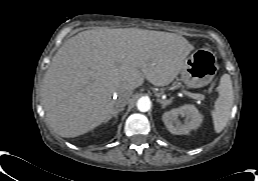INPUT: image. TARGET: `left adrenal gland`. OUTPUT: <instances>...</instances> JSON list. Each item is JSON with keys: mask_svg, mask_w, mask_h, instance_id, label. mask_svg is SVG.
I'll return each instance as SVG.
<instances>
[{"mask_svg": "<svg viewBox=\"0 0 258 181\" xmlns=\"http://www.w3.org/2000/svg\"><path fill=\"white\" fill-rule=\"evenodd\" d=\"M173 100V97L170 98L169 100H161V99H157V102L162 104V108H165L167 105L171 104Z\"/></svg>", "mask_w": 258, "mask_h": 181, "instance_id": "1", "label": "left adrenal gland"}]
</instances>
